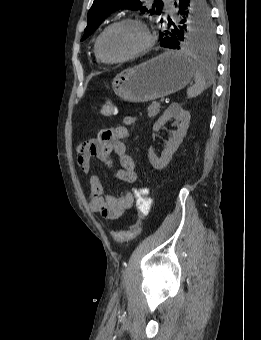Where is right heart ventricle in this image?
<instances>
[{"label":"right heart ventricle","mask_w":261,"mask_h":340,"mask_svg":"<svg viewBox=\"0 0 261 340\" xmlns=\"http://www.w3.org/2000/svg\"><path fill=\"white\" fill-rule=\"evenodd\" d=\"M95 55H96V59H97V61H99V62H103L99 57H98V55L96 54V51H95Z\"/></svg>","instance_id":"1"}]
</instances>
